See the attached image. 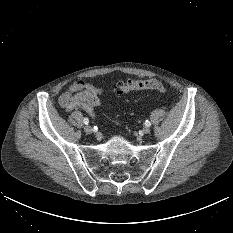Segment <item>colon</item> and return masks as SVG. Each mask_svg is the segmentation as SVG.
<instances>
[{
  "mask_svg": "<svg viewBox=\"0 0 233 233\" xmlns=\"http://www.w3.org/2000/svg\"><path fill=\"white\" fill-rule=\"evenodd\" d=\"M137 90H155L159 92H166V87L155 79L149 80H135L130 79L124 82H118L114 85V91L116 95L122 96L129 92L137 91Z\"/></svg>",
  "mask_w": 233,
  "mask_h": 233,
  "instance_id": "5ec220e1",
  "label": "colon"
}]
</instances>
